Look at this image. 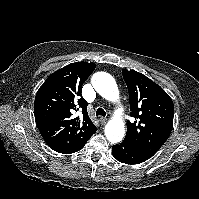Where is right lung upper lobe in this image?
<instances>
[{"label":"right lung upper lobe","instance_id":"right-lung-upper-lobe-1","mask_svg":"<svg viewBox=\"0 0 199 199\" xmlns=\"http://www.w3.org/2000/svg\"><path fill=\"white\" fill-rule=\"evenodd\" d=\"M95 67L93 62L71 63L52 73L39 88L34 115L38 129L50 148L71 149L96 132L87 113V102L81 95L82 85ZM79 108L83 117L73 118V110Z\"/></svg>","mask_w":199,"mask_h":199}]
</instances>
